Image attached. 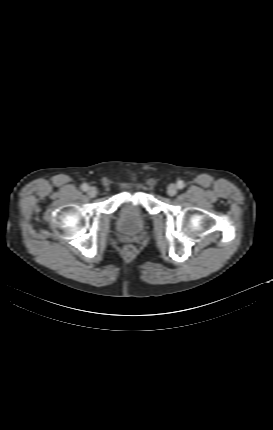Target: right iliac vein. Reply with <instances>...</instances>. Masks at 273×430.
Masks as SVG:
<instances>
[{
    "label": "right iliac vein",
    "mask_w": 273,
    "mask_h": 430,
    "mask_svg": "<svg viewBox=\"0 0 273 430\" xmlns=\"http://www.w3.org/2000/svg\"><path fill=\"white\" fill-rule=\"evenodd\" d=\"M87 194H88L89 197L93 198V197H95L97 195V189L95 187H90L87 190Z\"/></svg>",
    "instance_id": "1"
}]
</instances>
